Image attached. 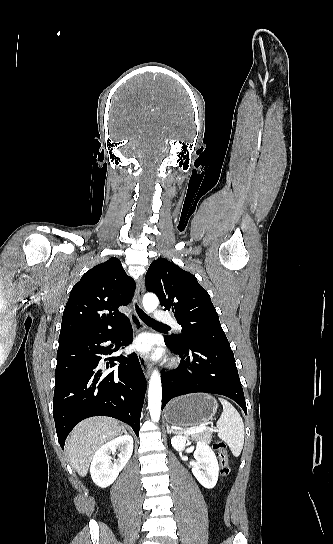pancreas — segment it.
Masks as SVG:
<instances>
[{
    "label": "pancreas",
    "mask_w": 333,
    "mask_h": 544,
    "mask_svg": "<svg viewBox=\"0 0 333 544\" xmlns=\"http://www.w3.org/2000/svg\"><path fill=\"white\" fill-rule=\"evenodd\" d=\"M191 439L193 440H203L206 442H210L212 439V431L211 430H205L202 432L191 434Z\"/></svg>",
    "instance_id": "pancreas-1"
}]
</instances>
